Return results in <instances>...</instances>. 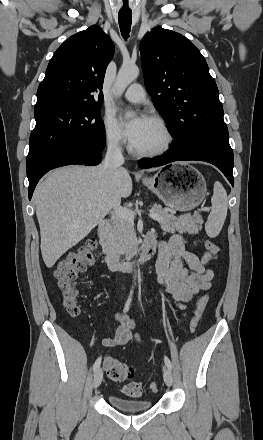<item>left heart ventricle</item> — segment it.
I'll return each instance as SVG.
<instances>
[{
    "mask_svg": "<svg viewBox=\"0 0 263 440\" xmlns=\"http://www.w3.org/2000/svg\"><path fill=\"white\" fill-rule=\"evenodd\" d=\"M164 142V134L152 121L148 120L144 126L138 141L133 145L138 150H152L161 146Z\"/></svg>",
    "mask_w": 263,
    "mask_h": 440,
    "instance_id": "1",
    "label": "left heart ventricle"
}]
</instances>
